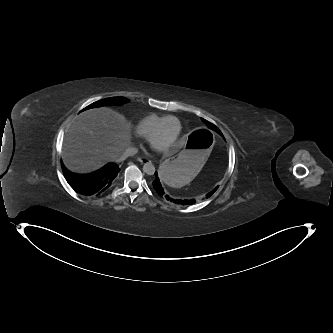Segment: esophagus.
Wrapping results in <instances>:
<instances>
[{
  "label": "esophagus",
  "instance_id": "1",
  "mask_svg": "<svg viewBox=\"0 0 333 333\" xmlns=\"http://www.w3.org/2000/svg\"><path fill=\"white\" fill-rule=\"evenodd\" d=\"M137 160H138L140 163H142V164H148V163H150V160H149L147 157H145V156H139V157L137 158Z\"/></svg>",
  "mask_w": 333,
  "mask_h": 333
}]
</instances>
